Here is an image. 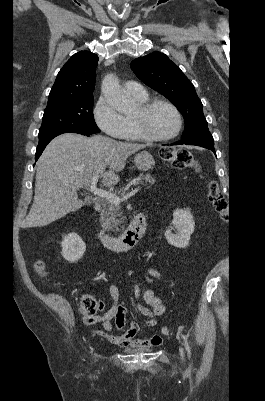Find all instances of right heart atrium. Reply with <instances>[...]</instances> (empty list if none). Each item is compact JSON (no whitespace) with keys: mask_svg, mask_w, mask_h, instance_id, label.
Instances as JSON below:
<instances>
[{"mask_svg":"<svg viewBox=\"0 0 265 401\" xmlns=\"http://www.w3.org/2000/svg\"><path fill=\"white\" fill-rule=\"evenodd\" d=\"M93 119L107 135L119 137L126 129V122L115 106L105 96H100L93 109Z\"/></svg>","mask_w":265,"mask_h":401,"instance_id":"right-heart-atrium-1","label":"right heart atrium"}]
</instances>
